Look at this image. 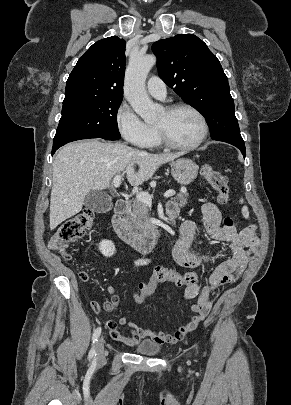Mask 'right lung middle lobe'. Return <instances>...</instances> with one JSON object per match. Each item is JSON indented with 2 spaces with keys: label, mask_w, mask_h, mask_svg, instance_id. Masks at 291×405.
<instances>
[{
  "label": "right lung middle lobe",
  "mask_w": 291,
  "mask_h": 405,
  "mask_svg": "<svg viewBox=\"0 0 291 405\" xmlns=\"http://www.w3.org/2000/svg\"><path fill=\"white\" fill-rule=\"evenodd\" d=\"M121 102L122 98H105L63 103L52 151L80 139H120L117 111Z\"/></svg>",
  "instance_id": "1"
}]
</instances>
